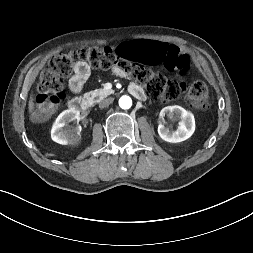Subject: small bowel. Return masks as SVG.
I'll return each instance as SVG.
<instances>
[{
    "label": "small bowel",
    "instance_id": "c3829d8e",
    "mask_svg": "<svg viewBox=\"0 0 253 253\" xmlns=\"http://www.w3.org/2000/svg\"><path fill=\"white\" fill-rule=\"evenodd\" d=\"M145 41V40H139ZM136 42V41H135ZM113 72L120 77H125L126 73L118 67L113 69ZM90 76V69L85 62H77L73 68V75L69 80V88L71 91L78 93L83 89L84 84ZM134 86V85H132Z\"/></svg>",
    "mask_w": 253,
    "mask_h": 253
}]
</instances>
